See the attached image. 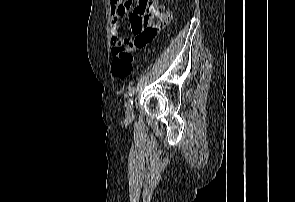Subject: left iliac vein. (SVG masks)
I'll return each instance as SVG.
<instances>
[{"label":"left iliac vein","instance_id":"4c4485c4","mask_svg":"<svg viewBox=\"0 0 295 202\" xmlns=\"http://www.w3.org/2000/svg\"><path fill=\"white\" fill-rule=\"evenodd\" d=\"M133 98H131L128 103H127V116L129 118H132L133 117Z\"/></svg>","mask_w":295,"mask_h":202}]
</instances>
